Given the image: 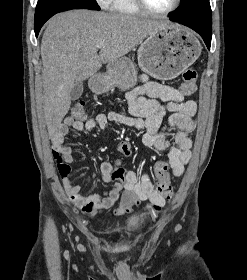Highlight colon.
<instances>
[{
  "mask_svg": "<svg viewBox=\"0 0 247 280\" xmlns=\"http://www.w3.org/2000/svg\"><path fill=\"white\" fill-rule=\"evenodd\" d=\"M197 72L193 68H188L183 72L181 91L185 95H191L196 90ZM72 117L76 120H83L85 114V102L78 101L72 107ZM120 152L124 155L129 156L132 154V145L128 142H123L119 146ZM58 162L59 171H67L68 168L61 162L59 157H55ZM154 172L156 177V190L164 196L166 199H170L173 196V189L170 184V176L168 173V167L165 162L159 161L154 166ZM127 172L123 168H117L113 170L111 174L112 184L111 189L113 191H121L123 188L128 186L126 179Z\"/></svg>",
  "mask_w": 247,
  "mask_h": 280,
  "instance_id": "1",
  "label": "colon"
}]
</instances>
